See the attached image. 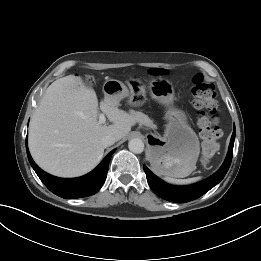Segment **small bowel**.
<instances>
[{"label":"small bowel","instance_id":"1","mask_svg":"<svg viewBox=\"0 0 261 261\" xmlns=\"http://www.w3.org/2000/svg\"><path fill=\"white\" fill-rule=\"evenodd\" d=\"M156 73H158V74H159V73H162V71H156Z\"/></svg>","mask_w":261,"mask_h":261}]
</instances>
